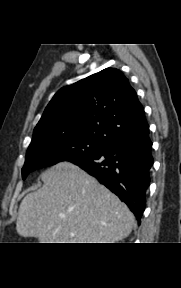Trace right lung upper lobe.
Here are the masks:
<instances>
[{
  "mask_svg": "<svg viewBox=\"0 0 181 288\" xmlns=\"http://www.w3.org/2000/svg\"><path fill=\"white\" fill-rule=\"evenodd\" d=\"M68 135L91 137L105 146L149 137L144 108L121 71L106 68L61 88L45 108L32 141Z\"/></svg>",
  "mask_w": 181,
  "mask_h": 288,
  "instance_id": "right-lung-upper-lobe-1",
  "label": "right lung upper lobe"
}]
</instances>
